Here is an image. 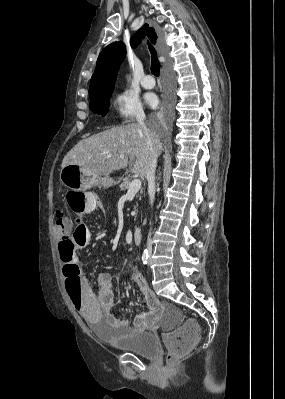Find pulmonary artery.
<instances>
[{
  "mask_svg": "<svg viewBox=\"0 0 285 399\" xmlns=\"http://www.w3.org/2000/svg\"><path fill=\"white\" fill-rule=\"evenodd\" d=\"M141 85L146 89H152L155 86V80L150 73H146L141 81Z\"/></svg>",
  "mask_w": 285,
  "mask_h": 399,
  "instance_id": "1",
  "label": "pulmonary artery"
}]
</instances>
